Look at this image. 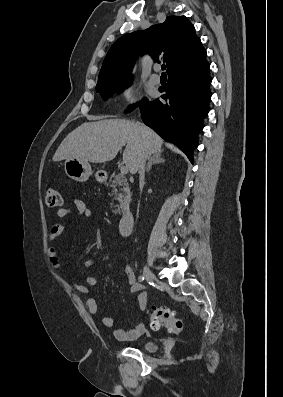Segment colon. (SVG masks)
Here are the masks:
<instances>
[{"label": "colon", "mask_w": 283, "mask_h": 397, "mask_svg": "<svg viewBox=\"0 0 283 397\" xmlns=\"http://www.w3.org/2000/svg\"><path fill=\"white\" fill-rule=\"evenodd\" d=\"M45 203L48 207L58 208L62 204L61 194L52 186L44 188ZM150 325L153 329L166 327L172 332L180 333L184 329V323L176 317L175 312L165 306H155L150 313Z\"/></svg>", "instance_id": "obj_1"}]
</instances>
